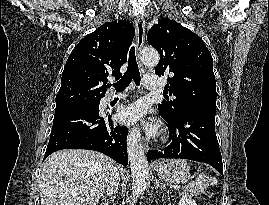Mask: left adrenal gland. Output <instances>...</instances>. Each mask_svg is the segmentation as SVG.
Returning a JSON list of instances; mask_svg holds the SVG:
<instances>
[{"label":"left adrenal gland","mask_w":269,"mask_h":205,"mask_svg":"<svg viewBox=\"0 0 269 205\" xmlns=\"http://www.w3.org/2000/svg\"><path fill=\"white\" fill-rule=\"evenodd\" d=\"M154 181H155V188H162V189L166 188V185L160 182L157 178H155Z\"/></svg>","instance_id":"obj_1"}]
</instances>
